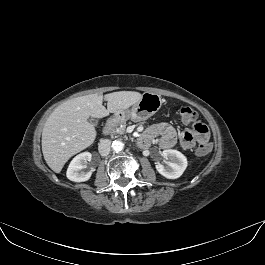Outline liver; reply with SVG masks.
Masks as SVG:
<instances>
[{
  "label": "liver",
  "instance_id": "6515ba94",
  "mask_svg": "<svg viewBox=\"0 0 265 265\" xmlns=\"http://www.w3.org/2000/svg\"><path fill=\"white\" fill-rule=\"evenodd\" d=\"M142 94L119 91L77 97L59 105L50 114L42 131V152L48 166L60 173L65 163L78 152L86 149L96 139V129L89 117L103 118L109 113L127 109L137 103ZM107 102V109L102 105Z\"/></svg>",
  "mask_w": 265,
  "mask_h": 265
}]
</instances>
